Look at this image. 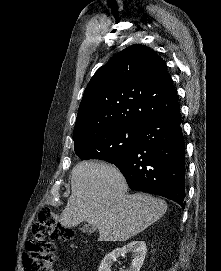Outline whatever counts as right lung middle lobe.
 I'll return each instance as SVG.
<instances>
[{"label":"right lung middle lobe","mask_w":221,"mask_h":271,"mask_svg":"<svg viewBox=\"0 0 221 271\" xmlns=\"http://www.w3.org/2000/svg\"><path fill=\"white\" fill-rule=\"evenodd\" d=\"M142 127L118 125L74 140L75 152L81 160L100 159L113 163L138 141Z\"/></svg>","instance_id":"obj_1"}]
</instances>
